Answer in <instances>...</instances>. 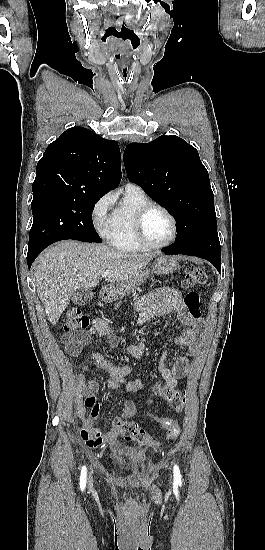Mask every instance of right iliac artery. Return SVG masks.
<instances>
[{
  "instance_id": "1",
  "label": "right iliac artery",
  "mask_w": 265,
  "mask_h": 550,
  "mask_svg": "<svg viewBox=\"0 0 265 550\" xmlns=\"http://www.w3.org/2000/svg\"><path fill=\"white\" fill-rule=\"evenodd\" d=\"M86 477H87L86 467L83 466V467H82V470H81V476H80V488H81V490H84V489H85V486H86Z\"/></svg>"
}]
</instances>
